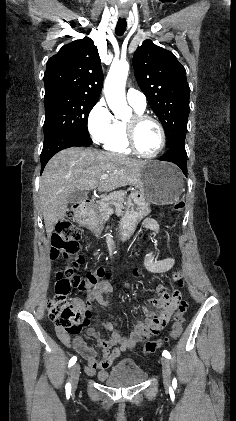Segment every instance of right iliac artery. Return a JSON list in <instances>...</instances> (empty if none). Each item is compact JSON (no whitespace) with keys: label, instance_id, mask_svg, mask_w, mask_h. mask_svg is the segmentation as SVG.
Listing matches in <instances>:
<instances>
[{"label":"right iliac artery","instance_id":"right-iliac-artery-1","mask_svg":"<svg viewBox=\"0 0 236 421\" xmlns=\"http://www.w3.org/2000/svg\"><path fill=\"white\" fill-rule=\"evenodd\" d=\"M76 361H77V357L73 356L69 361L68 367L73 366L76 363ZM65 389H66V392L68 393L71 392V384L69 382L66 384Z\"/></svg>","mask_w":236,"mask_h":421}]
</instances>
